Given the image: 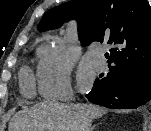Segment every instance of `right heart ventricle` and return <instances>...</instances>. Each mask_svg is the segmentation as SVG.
Masks as SVG:
<instances>
[{
    "mask_svg": "<svg viewBox=\"0 0 151 131\" xmlns=\"http://www.w3.org/2000/svg\"><path fill=\"white\" fill-rule=\"evenodd\" d=\"M21 91L26 96H32L34 94V82L29 70L25 69L21 73L20 79Z\"/></svg>",
    "mask_w": 151,
    "mask_h": 131,
    "instance_id": "e07e8e85",
    "label": "right heart ventricle"
}]
</instances>
